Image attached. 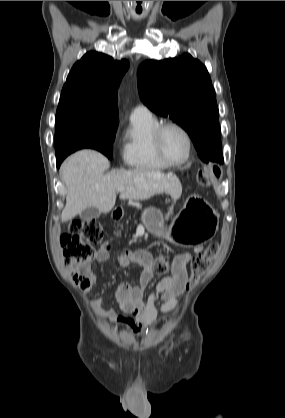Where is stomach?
Listing matches in <instances>:
<instances>
[{"instance_id":"0dacf381","label":"stomach","mask_w":285,"mask_h":418,"mask_svg":"<svg viewBox=\"0 0 285 418\" xmlns=\"http://www.w3.org/2000/svg\"><path fill=\"white\" fill-rule=\"evenodd\" d=\"M215 216V210L205 200L191 195L172 220L166 236L171 242L186 247L209 241L217 229ZM157 217L158 213L152 208L143 213L142 221L151 233L159 231V228L153 225Z\"/></svg>"}]
</instances>
